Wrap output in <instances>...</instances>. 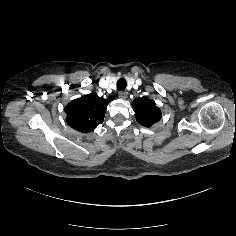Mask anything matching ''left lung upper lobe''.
<instances>
[{"label":"left lung upper lobe","mask_w":236,"mask_h":236,"mask_svg":"<svg viewBox=\"0 0 236 236\" xmlns=\"http://www.w3.org/2000/svg\"><path fill=\"white\" fill-rule=\"evenodd\" d=\"M136 120L142 126L151 127L161 118V111L153 100L146 97L136 98L132 102Z\"/></svg>","instance_id":"obj_1"}]
</instances>
